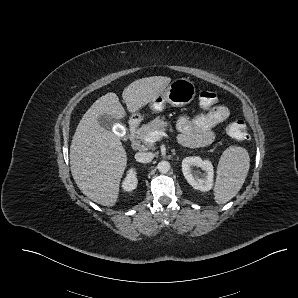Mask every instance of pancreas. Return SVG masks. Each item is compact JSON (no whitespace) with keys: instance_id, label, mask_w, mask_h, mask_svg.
Wrapping results in <instances>:
<instances>
[{"instance_id":"cf45deb5","label":"pancreas","mask_w":298,"mask_h":298,"mask_svg":"<svg viewBox=\"0 0 298 298\" xmlns=\"http://www.w3.org/2000/svg\"><path fill=\"white\" fill-rule=\"evenodd\" d=\"M169 126V123L165 120L164 116H157L152 121L147 124H143L139 129L136 131V138L140 139L148 149L154 148V143L144 142V137L152 131H166V128Z\"/></svg>"}]
</instances>
